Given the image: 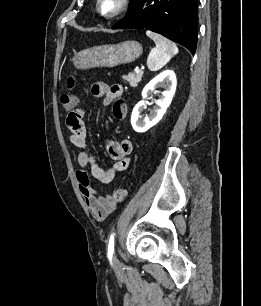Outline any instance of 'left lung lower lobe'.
I'll return each mask as SVG.
<instances>
[{
  "label": "left lung lower lobe",
  "instance_id": "left-lung-lower-lobe-1",
  "mask_svg": "<svg viewBox=\"0 0 261 306\" xmlns=\"http://www.w3.org/2000/svg\"><path fill=\"white\" fill-rule=\"evenodd\" d=\"M198 0H138L112 29H149L188 48L197 46Z\"/></svg>",
  "mask_w": 261,
  "mask_h": 306
}]
</instances>
